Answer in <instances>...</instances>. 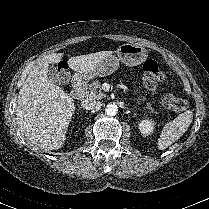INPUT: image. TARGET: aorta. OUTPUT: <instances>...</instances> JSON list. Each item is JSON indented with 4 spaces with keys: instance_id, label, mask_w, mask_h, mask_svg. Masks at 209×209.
Returning <instances> with one entry per match:
<instances>
[{
    "instance_id": "obj_1",
    "label": "aorta",
    "mask_w": 209,
    "mask_h": 209,
    "mask_svg": "<svg viewBox=\"0 0 209 209\" xmlns=\"http://www.w3.org/2000/svg\"><path fill=\"white\" fill-rule=\"evenodd\" d=\"M117 111H118V107L116 104H109V105H107V107L105 109L106 114L109 116L116 115Z\"/></svg>"
}]
</instances>
